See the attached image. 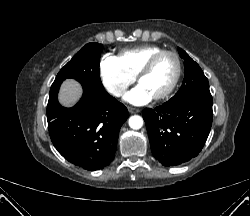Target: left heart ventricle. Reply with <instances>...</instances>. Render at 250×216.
Returning <instances> with one entry per match:
<instances>
[{"instance_id": "b2bd125f", "label": "left heart ventricle", "mask_w": 250, "mask_h": 216, "mask_svg": "<svg viewBox=\"0 0 250 216\" xmlns=\"http://www.w3.org/2000/svg\"><path fill=\"white\" fill-rule=\"evenodd\" d=\"M176 73L175 59L170 55L162 56L153 69L144 76L140 84L155 97L164 92L171 84Z\"/></svg>"}]
</instances>
